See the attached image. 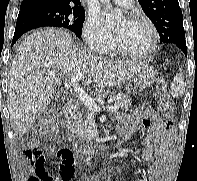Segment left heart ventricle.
I'll return each mask as SVG.
<instances>
[{
    "mask_svg": "<svg viewBox=\"0 0 197 181\" xmlns=\"http://www.w3.org/2000/svg\"><path fill=\"white\" fill-rule=\"evenodd\" d=\"M114 34L122 47L135 53L148 50L152 40L151 33L145 25L127 20L116 25Z\"/></svg>",
    "mask_w": 197,
    "mask_h": 181,
    "instance_id": "b2bd125f",
    "label": "left heart ventricle"
}]
</instances>
